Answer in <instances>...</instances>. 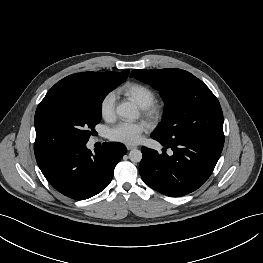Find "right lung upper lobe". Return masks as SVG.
<instances>
[{
    "label": "right lung upper lobe",
    "instance_id": "cb5924a9",
    "mask_svg": "<svg viewBox=\"0 0 263 263\" xmlns=\"http://www.w3.org/2000/svg\"><path fill=\"white\" fill-rule=\"evenodd\" d=\"M129 70L118 72H82L67 76L57 82L47 93L46 96L70 93L83 88L85 85L105 77H128Z\"/></svg>",
    "mask_w": 263,
    "mask_h": 263
}]
</instances>
